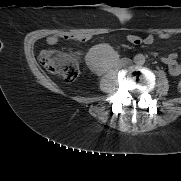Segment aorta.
Listing matches in <instances>:
<instances>
[{
	"label": "aorta",
	"instance_id": "1",
	"mask_svg": "<svg viewBox=\"0 0 181 181\" xmlns=\"http://www.w3.org/2000/svg\"><path fill=\"white\" fill-rule=\"evenodd\" d=\"M134 62L138 65L145 63V56L143 54H138L134 57Z\"/></svg>",
	"mask_w": 181,
	"mask_h": 181
}]
</instances>
